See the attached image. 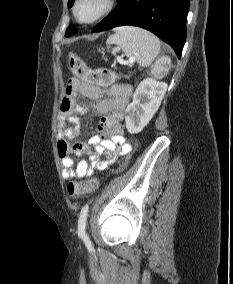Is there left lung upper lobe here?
Masks as SVG:
<instances>
[{
    "mask_svg": "<svg viewBox=\"0 0 233 284\" xmlns=\"http://www.w3.org/2000/svg\"><path fill=\"white\" fill-rule=\"evenodd\" d=\"M73 2H74V0H69V2H68V7H69V8L72 7ZM73 33H74V31H72L71 29H67V30H66V36H70V35L73 34Z\"/></svg>",
    "mask_w": 233,
    "mask_h": 284,
    "instance_id": "5c2ea615",
    "label": "left lung upper lobe"
}]
</instances>
